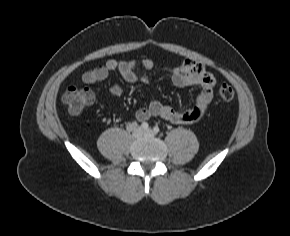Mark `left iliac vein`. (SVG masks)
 I'll list each match as a JSON object with an SVG mask.
<instances>
[{
  "mask_svg": "<svg viewBox=\"0 0 290 236\" xmlns=\"http://www.w3.org/2000/svg\"><path fill=\"white\" fill-rule=\"evenodd\" d=\"M144 134L147 135V136H154L155 135L154 131L151 130V129L145 130Z\"/></svg>",
  "mask_w": 290,
  "mask_h": 236,
  "instance_id": "4c4485c4",
  "label": "left iliac vein"
}]
</instances>
